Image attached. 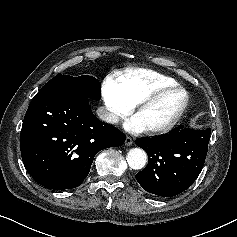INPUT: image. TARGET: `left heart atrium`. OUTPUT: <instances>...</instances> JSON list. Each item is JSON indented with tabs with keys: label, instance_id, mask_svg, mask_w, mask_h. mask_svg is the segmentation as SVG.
Masks as SVG:
<instances>
[{
	"label": "left heart atrium",
	"instance_id": "obj_1",
	"mask_svg": "<svg viewBox=\"0 0 237 237\" xmlns=\"http://www.w3.org/2000/svg\"><path fill=\"white\" fill-rule=\"evenodd\" d=\"M125 129L130 132L137 133V132H141V131L145 130V126L142 124V122L135 115L126 121Z\"/></svg>",
	"mask_w": 237,
	"mask_h": 237
}]
</instances>
